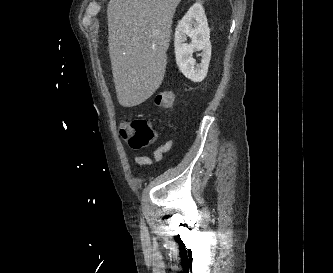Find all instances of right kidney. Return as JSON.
Instances as JSON below:
<instances>
[{
    "instance_id": "ca27d5eb",
    "label": "right kidney",
    "mask_w": 333,
    "mask_h": 273,
    "mask_svg": "<svg viewBox=\"0 0 333 273\" xmlns=\"http://www.w3.org/2000/svg\"><path fill=\"white\" fill-rule=\"evenodd\" d=\"M187 36L191 43H185ZM210 29L201 3L193 4L179 22L175 31V55L179 70L193 82H201L207 75L211 59ZM202 51V60L196 64L193 52Z\"/></svg>"
}]
</instances>
